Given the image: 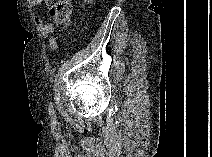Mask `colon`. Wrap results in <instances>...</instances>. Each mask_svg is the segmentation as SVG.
Returning a JSON list of instances; mask_svg holds the SVG:
<instances>
[{"label":"colon","mask_w":212,"mask_h":157,"mask_svg":"<svg viewBox=\"0 0 212 157\" xmlns=\"http://www.w3.org/2000/svg\"><path fill=\"white\" fill-rule=\"evenodd\" d=\"M50 16L56 25L64 30L69 26L71 18V3L67 0L48 1Z\"/></svg>","instance_id":"obj_1"}]
</instances>
